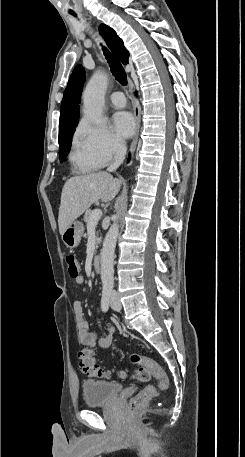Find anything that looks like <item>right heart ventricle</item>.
Instances as JSON below:
<instances>
[{
  "label": "right heart ventricle",
  "mask_w": 245,
  "mask_h": 457,
  "mask_svg": "<svg viewBox=\"0 0 245 457\" xmlns=\"http://www.w3.org/2000/svg\"><path fill=\"white\" fill-rule=\"evenodd\" d=\"M73 154L81 164L89 169H97L102 165L89 154L86 147L83 145L80 130H77L73 138Z\"/></svg>",
  "instance_id": "right-heart-ventricle-1"
}]
</instances>
